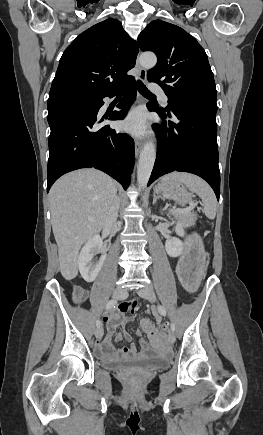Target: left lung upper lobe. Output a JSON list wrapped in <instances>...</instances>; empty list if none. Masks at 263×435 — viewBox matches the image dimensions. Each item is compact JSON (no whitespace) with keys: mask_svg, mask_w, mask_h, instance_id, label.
<instances>
[{"mask_svg":"<svg viewBox=\"0 0 263 435\" xmlns=\"http://www.w3.org/2000/svg\"><path fill=\"white\" fill-rule=\"evenodd\" d=\"M142 51H153L157 64L147 73L168 97V108L217 112L216 87L207 55L197 40L182 28L154 20L138 36ZM162 79L163 81H160Z\"/></svg>","mask_w":263,"mask_h":435,"instance_id":"left-lung-upper-lobe-1","label":"left lung upper lobe"}]
</instances>
